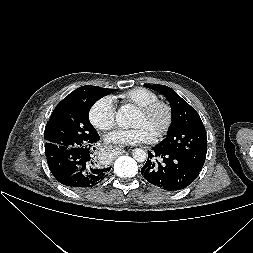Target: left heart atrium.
Listing matches in <instances>:
<instances>
[{
    "mask_svg": "<svg viewBox=\"0 0 253 253\" xmlns=\"http://www.w3.org/2000/svg\"><path fill=\"white\" fill-rule=\"evenodd\" d=\"M155 136L143 125L134 126L130 129H118L107 135L108 142L121 145H136L149 143Z\"/></svg>",
    "mask_w": 253,
    "mask_h": 253,
    "instance_id": "39dd6f15",
    "label": "left heart atrium"
}]
</instances>
